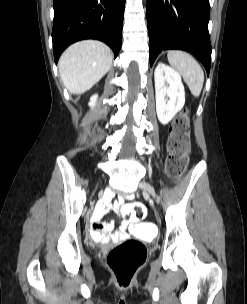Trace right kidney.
<instances>
[{"mask_svg":"<svg viewBox=\"0 0 247 304\" xmlns=\"http://www.w3.org/2000/svg\"><path fill=\"white\" fill-rule=\"evenodd\" d=\"M97 97H98V95H93V96L90 98V102H89V106H90V107H94V106H95Z\"/></svg>","mask_w":247,"mask_h":304,"instance_id":"obj_1","label":"right kidney"}]
</instances>
